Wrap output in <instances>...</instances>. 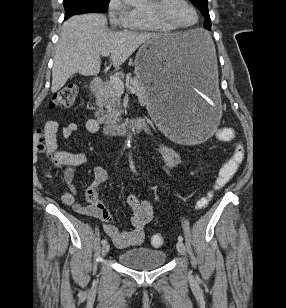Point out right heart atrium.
Here are the masks:
<instances>
[{
  "label": "right heart atrium",
  "mask_w": 286,
  "mask_h": 308,
  "mask_svg": "<svg viewBox=\"0 0 286 308\" xmlns=\"http://www.w3.org/2000/svg\"><path fill=\"white\" fill-rule=\"evenodd\" d=\"M107 14L112 26L128 29L134 24L136 11L127 0H108Z\"/></svg>",
  "instance_id": "right-heart-atrium-1"
}]
</instances>
